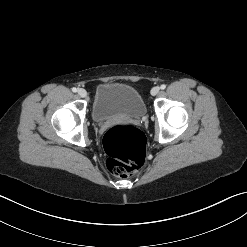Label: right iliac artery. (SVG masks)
<instances>
[{
  "label": "right iliac artery",
  "instance_id": "1",
  "mask_svg": "<svg viewBox=\"0 0 247 247\" xmlns=\"http://www.w3.org/2000/svg\"><path fill=\"white\" fill-rule=\"evenodd\" d=\"M72 91H73L74 93L77 92V88L73 87V88H72Z\"/></svg>",
  "mask_w": 247,
  "mask_h": 247
}]
</instances>
